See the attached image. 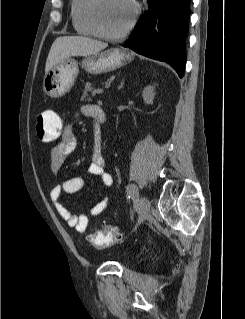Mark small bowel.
I'll use <instances>...</instances> for the list:
<instances>
[{"label":"small bowel","mask_w":245,"mask_h":319,"mask_svg":"<svg viewBox=\"0 0 245 319\" xmlns=\"http://www.w3.org/2000/svg\"><path fill=\"white\" fill-rule=\"evenodd\" d=\"M104 115L102 108L98 105H83L75 114V118L85 117L94 122L99 121L98 117ZM78 144V136L74 131L73 124L68 122L62 130L60 141L54 145L50 152L51 170L58 174L67 158L72 153ZM106 160L102 154L100 135L97 126H94V147H93V162L89 167V173L98 177L101 183L110 187L113 185V177L106 170ZM84 179L81 177H72L55 185L50 191V199L60 217L67 225L74 228L77 233H84L88 227L89 219L102 214L109 205V199L106 197L92 207L89 214H73L61 202L60 197L63 193L74 194L82 190Z\"/></svg>","instance_id":"small-bowel-1"}]
</instances>
